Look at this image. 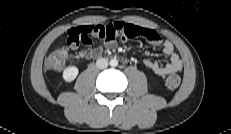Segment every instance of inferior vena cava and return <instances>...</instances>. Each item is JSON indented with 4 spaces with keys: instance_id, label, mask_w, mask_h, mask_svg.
Segmentation results:
<instances>
[{
    "instance_id": "1",
    "label": "inferior vena cava",
    "mask_w": 231,
    "mask_h": 134,
    "mask_svg": "<svg viewBox=\"0 0 231 134\" xmlns=\"http://www.w3.org/2000/svg\"><path fill=\"white\" fill-rule=\"evenodd\" d=\"M96 66H97V68H99V69L107 68V66H108V60L105 59V58H99V59L96 61Z\"/></svg>"
}]
</instances>
